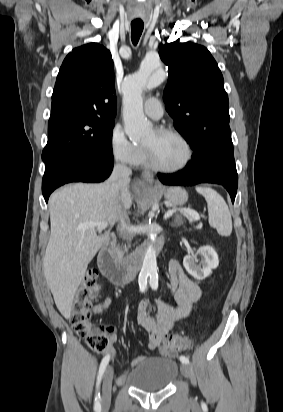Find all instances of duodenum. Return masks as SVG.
I'll return each mask as SVG.
<instances>
[{
    "label": "duodenum",
    "instance_id": "410a0bca",
    "mask_svg": "<svg viewBox=\"0 0 283 412\" xmlns=\"http://www.w3.org/2000/svg\"><path fill=\"white\" fill-rule=\"evenodd\" d=\"M115 236L109 235L103 243L99 255L98 264L102 274L113 284L123 286L130 283L140 268L149 246L146 245L140 249V251L129 260L119 262L115 254ZM162 240H156L150 244V247L158 251L162 248Z\"/></svg>",
    "mask_w": 283,
    "mask_h": 412
}]
</instances>
